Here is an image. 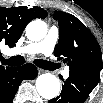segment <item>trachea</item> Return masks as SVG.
<instances>
[{"instance_id":"3493384b","label":"trachea","mask_w":103,"mask_h":103,"mask_svg":"<svg viewBox=\"0 0 103 103\" xmlns=\"http://www.w3.org/2000/svg\"><path fill=\"white\" fill-rule=\"evenodd\" d=\"M2 62L4 65L20 66L25 63V58L19 55V56L11 57L10 59H3ZM33 62L38 67L46 69V70H53L55 68V65L49 61L35 59Z\"/></svg>"}]
</instances>
